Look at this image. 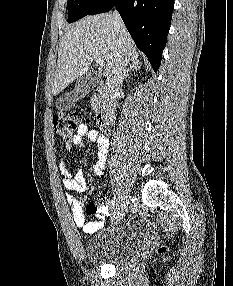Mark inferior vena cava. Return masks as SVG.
Listing matches in <instances>:
<instances>
[{"label":"inferior vena cava","instance_id":"602c4592","mask_svg":"<svg viewBox=\"0 0 233 286\" xmlns=\"http://www.w3.org/2000/svg\"><path fill=\"white\" fill-rule=\"evenodd\" d=\"M114 27L116 30H121L124 27L123 21L117 11H114ZM121 44V39L119 40ZM128 63V58L126 53L123 50H120L116 54V59L114 63V68L112 70V76L107 78L106 81V97L110 106V119L114 123L115 119V109H116V97L120 90V86L123 83L126 67Z\"/></svg>","mask_w":233,"mask_h":286}]
</instances>
